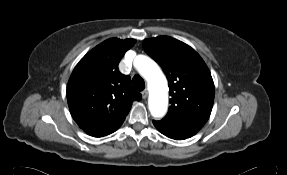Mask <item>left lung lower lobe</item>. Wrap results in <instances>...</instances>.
<instances>
[{
  "instance_id": "obj_1",
  "label": "left lung lower lobe",
  "mask_w": 287,
  "mask_h": 175,
  "mask_svg": "<svg viewBox=\"0 0 287 175\" xmlns=\"http://www.w3.org/2000/svg\"><path fill=\"white\" fill-rule=\"evenodd\" d=\"M154 125L155 127L157 128L158 131H160L162 134H164L165 136L169 137V138H172V139H175V140H183L185 138L179 136V135H176L175 133L169 131L168 129L158 125L156 122H154Z\"/></svg>"
}]
</instances>
